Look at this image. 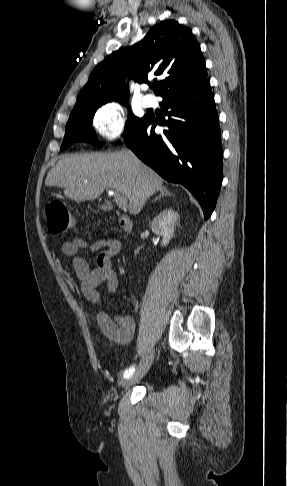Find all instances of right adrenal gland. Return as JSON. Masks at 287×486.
Returning <instances> with one entry per match:
<instances>
[{
  "label": "right adrenal gland",
  "mask_w": 287,
  "mask_h": 486,
  "mask_svg": "<svg viewBox=\"0 0 287 486\" xmlns=\"http://www.w3.org/2000/svg\"><path fill=\"white\" fill-rule=\"evenodd\" d=\"M172 195L169 190L167 189V187H161L160 189V195H158L153 201H157L159 199H161L162 197L164 196H170Z\"/></svg>",
  "instance_id": "2a0ac1e0"
}]
</instances>
